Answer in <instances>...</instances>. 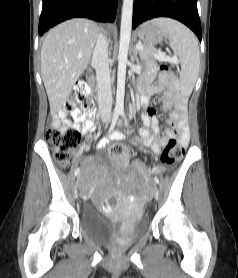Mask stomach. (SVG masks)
<instances>
[{
  "mask_svg": "<svg viewBox=\"0 0 238 278\" xmlns=\"http://www.w3.org/2000/svg\"><path fill=\"white\" fill-rule=\"evenodd\" d=\"M138 37L144 44L154 46L165 39L166 33L157 25L148 22L139 27Z\"/></svg>",
  "mask_w": 238,
  "mask_h": 278,
  "instance_id": "0dacf381",
  "label": "stomach"
}]
</instances>
